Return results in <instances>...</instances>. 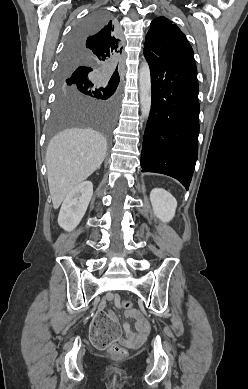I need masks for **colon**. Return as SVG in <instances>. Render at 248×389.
Returning a JSON list of instances; mask_svg holds the SVG:
<instances>
[{
    "mask_svg": "<svg viewBox=\"0 0 248 389\" xmlns=\"http://www.w3.org/2000/svg\"><path fill=\"white\" fill-rule=\"evenodd\" d=\"M133 304L131 301H123L122 307L130 310ZM91 346L96 350H107L111 357L119 359L126 355V350L113 344V337H122L123 331L119 330L116 319L110 318L107 311H95L94 322L90 323ZM108 344H110L108 346Z\"/></svg>",
    "mask_w": 248,
    "mask_h": 389,
    "instance_id": "colon-1",
    "label": "colon"
}]
</instances>
